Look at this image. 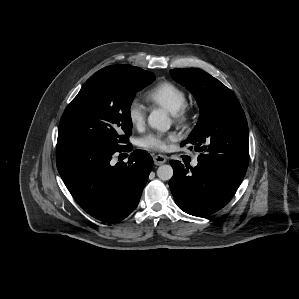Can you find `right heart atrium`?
<instances>
[{"instance_id": "1", "label": "right heart atrium", "mask_w": 299, "mask_h": 299, "mask_svg": "<svg viewBox=\"0 0 299 299\" xmlns=\"http://www.w3.org/2000/svg\"><path fill=\"white\" fill-rule=\"evenodd\" d=\"M126 117L134 128L141 129L144 127L146 122V108L140 100L137 98L130 100L126 108Z\"/></svg>"}]
</instances>
